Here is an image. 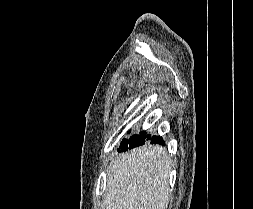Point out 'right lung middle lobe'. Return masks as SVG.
I'll use <instances>...</instances> for the list:
<instances>
[{
	"label": "right lung middle lobe",
	"instance_id": "right-lung-middle-lobe-1",
	"mask_svg": "<svg viewBox=\"0 0 253 209\" xmlns=\"http://www.w3.org/2000/svg\"><path fill=\"white\" fill-rule=\"evenodd\" d=\"M142 136L140 135H133L129 139H123L120 145L121 150L119 151H126L127 149H132L134 147L140 146L145 144Z\"/></svg>",
	"mask_w": 253,
	"mask_h": 209
}]
</instances>
